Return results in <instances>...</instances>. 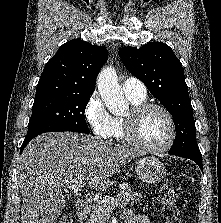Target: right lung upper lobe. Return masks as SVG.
Segmentation results:
<instances>
[{
	"label": "right lung upper lobe",
	"mask_w": 221,
	"mask_h": 223,
	"mask_svg": "<svg viewBox=\"0 0 221 223\" xmlns=\"http://www.w3.org/2000/svg\"><path fill=\"white\" fill-rule=\"evenodd\" d=\"M108 59L103 46L81 39L63 44L46 64L37 85L35 100L52 96L92 94L96 77Z\"/></svg>",
	"instance_id": "cb5924a9"
}]
</instances>
